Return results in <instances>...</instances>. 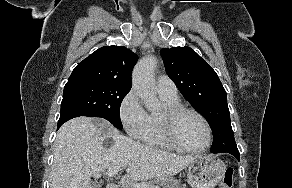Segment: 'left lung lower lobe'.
<instances>
[{
	"label": "left lung lower lobe",
	"instance_id": "obj_1",
	"mask_svg": "<svg viewBox=\"0 0 292 188\" xmlns=\"http://www.w3.org/2000/svg\"><path fill=\"white\" fill-rule=\"evenodd\" d=\"M223 152L230 153L231 155L235 156V157L237 158L238 161H239V159H240V154H239V151H238L237 148L224 150Z\"/></svg>",
	"mask_w": 292,
	"mask_h": 188
}]
</instances>
